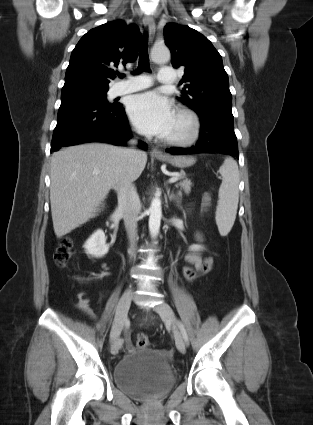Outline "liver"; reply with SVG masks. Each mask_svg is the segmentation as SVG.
<instances>
[{"instance_id":"liver-1","label":"liver","mask_w":313,"mask_h":425,"mask_svg":"<svg viewBox=\"0 0 313 425\" xmlns=\"http://www.w3.org/2000/svg\"><path fill=\"white\" fill-rule=\"evenodd\" d=\"M147 154L128 159L122 148L101 143L67 147L51 157L50 202L55 235L70 233L96 215L110 189L139 178ZM94 170H99L94 174Z\"/></svg>"}]
</instances>
